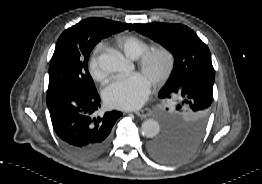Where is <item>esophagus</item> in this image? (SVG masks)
Returning a JSON list of instances; mask_svg holds the SVG:
<instances>
[{
    "instance_id": "esophagus-1",
    "label": "esophagus",
    "mask_w": 262,
    "mask_h": 184,
    "mask_svg": "<svg viewBox=\"0 0 262 184\" xmlns=\"http://www.w3.org/2000/svg\"><path fill=\"white\" fill-rule=\"evenodd\" d=\"M150 113H151V110L148 108L136 112V114L141 118L148 116Z\"/></svg>"
}]
</instances>
